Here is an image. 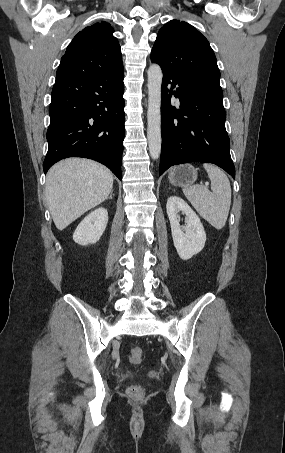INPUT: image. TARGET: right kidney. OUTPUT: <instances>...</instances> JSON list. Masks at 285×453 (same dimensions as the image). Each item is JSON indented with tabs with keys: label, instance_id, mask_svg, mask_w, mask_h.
Returning a JSON list of instances; mask_svg holds the SVG:
<instances>
[{
	"label": "right kidney",
	"instance_id": "1",
	"mask_svg": "<svg viewBox=\"0 0 285 453\" xmlns=\"http://www.w3.org/2000/svg\"><path fill=\"white\" fill-rule=\"evenodd\" d=\"M108 222V212L100 207L88 214L77 226L73 240L83 246L94 244L101 238Z\"/></svg>",
	"mask_w": 285,
	"mask_h": 453
}]
</instances>
